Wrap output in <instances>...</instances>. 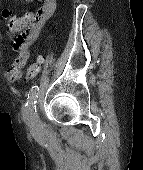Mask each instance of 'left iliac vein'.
Masks as SVG:
<instances>
[{"instance_id": "obj_1", "label": "left iliac vein", "mask_w": 143, "mask_h": 170, "mask_svg": "<svg viewBox=\"0 0 143 170\" xmlns=\"http://www.w3.org/2000/svg\"><path fill=\"white\" fill-rule=\"evenodd\" d=\"M31 124H32L33 126H38V125H39V119H38V117L34 116V117L32 118V120H31Z\"/></svg>"}]
</instances>
